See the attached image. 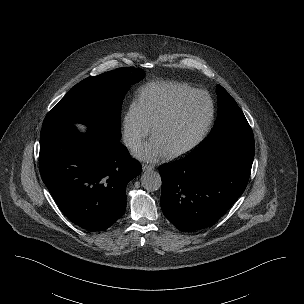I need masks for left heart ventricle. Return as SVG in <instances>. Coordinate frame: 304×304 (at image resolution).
<instances>
[{
    "instance_id": "b2bd125f",
    "label": "left heart ventricle",
    "mask_w": 304,
    "mask_h": 304,
    "mask_svg": "<svg viewBox=\"0 0 304 304\" xmlns=\"http://www.w3.org/2000/svg\"><path fill=\"white\" fill-rule=\"evenodd\" d=\"M208 112L209 105L205 98H193L162 124L154 137L159 139L168 153L179 150L196 138L207 119Z\"/></svg>"
}]
</instances>
